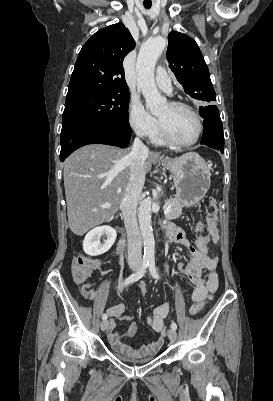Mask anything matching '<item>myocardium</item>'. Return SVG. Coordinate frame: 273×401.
I'll list each match as a JSON object with an SVG mask.
<instances>
[{
	"label": "myocardium",
	"instance_id": "obj_1",
	"mask_svg": "<svg viewBox=\"0 0 273 401\" xmlns=\"http://www.w3.org/2000/svg\"><path fill=\"white\" fill-rule=\"evenodd\" d=\"M169 105L172 107L185 109L190 114H192L198 123V133H197L196 137L191 141H186V142L180 141L171 134V132L166 128V126L163 124V122L158 118L159 128H160L163 139L166 142H168L169 144H172L175 146H180V147H189V146H192V145L198 143L201 140L203 133H204V122H203L201 115L192 106H190L186 103H183V102L172 101L169 103Z\"/></svg>",
	"mask_w": 273,
	"mask_h": 401
}]
</instances>
